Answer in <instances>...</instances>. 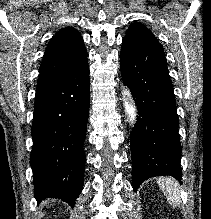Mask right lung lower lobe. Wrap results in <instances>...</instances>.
<instances>
[{
	"instance_id": "obj_1",
	"label": "right lung lower lobe",
	"mask_w": 211,
	"mask_h": 219,
	"mask_svg": "<svg viewBox=\"0 0 211 219\" xmlns=\"http://www.w3.org/2000/svg\"><path fill=\"white\" fill-rule=\"evenodd\" d=\"M31 134L34 197L75 205L84 183L83 143L90 105L88 60L36 90Z\"/></svg>"
}]
</instances>
